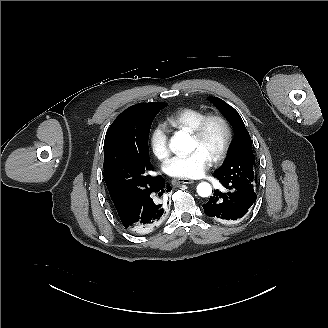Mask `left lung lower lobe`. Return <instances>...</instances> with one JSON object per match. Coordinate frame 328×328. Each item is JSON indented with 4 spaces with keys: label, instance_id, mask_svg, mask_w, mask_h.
<instances>
[{
    "label": "left lung lower lobe",
    "instance_id": "0a47b994",
    "mask_svg": "<svg viewBox=\"0 0 328 328\" xmlns=\"http://www.w3.org/2000/svg\"><path fill=\"white\" fill-rule=\"evenodd\" d=\"M215 177L228 189V192L222 194L216 190L209 201L203 204L205 214L222 223L239 220L256 201L254 185L225 181L216 175Z\"/></svg>",
    "mask_w": 328,
    "mask_h": 328
}]
</instances>
